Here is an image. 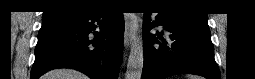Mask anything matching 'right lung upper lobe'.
<instances>
[{"label": "right lung upper lobe", "mask_w": 255, "mask_h": 79, "mask_svg": "<svg viewBox=\"0 0 255 79\" xmlns=\"http://www.w3.org/2000/svg\"><path fill=\"white\" fill-rule=\"evenodd\" d=\"M98 8L96 4L85 3L84 1L75 0H56L50 3L48 10L45 12L43 18L51 15L68 13L73 11L91 10Z\"/></svg>", "instance_id": "right-lung-upper-lobe-1"}]
</instances>
